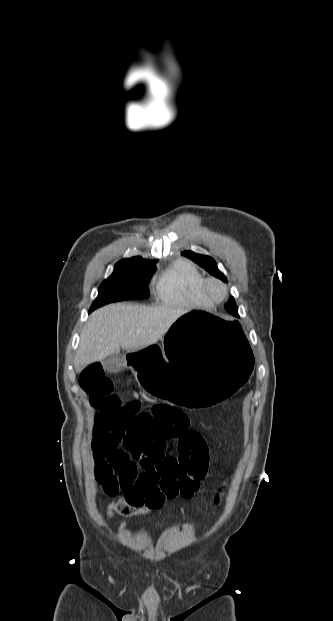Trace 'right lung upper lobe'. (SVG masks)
I'll list each match as a JSON object with an SVG mask.
<instances>
[{
    "mask_svg": "<svg viewBox=\"0 0 333 621\" xmlns=\"http://www.w3.org/2000/svg\"><path fill=\"white\" fill-rule=\"evenodd\" d=\"M155 263H156V260L150 261L147 259H143L140 256H136V257H132L128 259H123L119 261L117 264H136V265L147 266V267H155L154 266Z\"/></svg>",
    "mask_w": 333,
    "mask_h": 621,
    "instance_id": "1",
    "label": "right lung upper lobe"
}]
</instances>
